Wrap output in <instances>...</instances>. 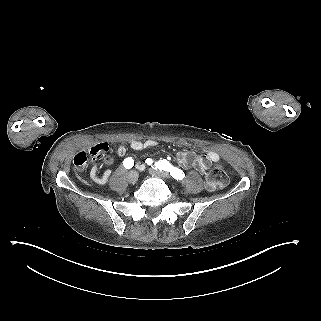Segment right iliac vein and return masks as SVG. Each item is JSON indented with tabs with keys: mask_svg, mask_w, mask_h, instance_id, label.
Wrapping results in <instances>:
<instances>
[{
	"mask_svg": "<svg viewBox=\"0 0 321 321\" xmlns=\"http://www.w3.org/2000/svg\"><path fill=\"white\" fill-rule=\"evenodd\" d=\"M139 177V173L135 170H132L128 173V181L132 184H134Z\"/></svg>",
	"mask_w": 321,
	"mask_h": 321,
	"instance_id": "63e3f726",
	"label": "right iliac vein"
}]
</instances>
